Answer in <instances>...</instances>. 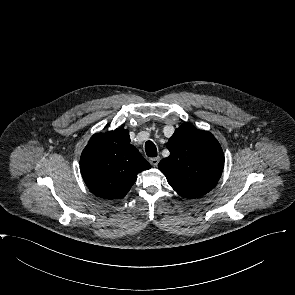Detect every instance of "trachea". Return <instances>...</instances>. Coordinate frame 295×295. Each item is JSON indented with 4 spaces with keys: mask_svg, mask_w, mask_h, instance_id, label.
<instances>
[{
    "mask_svg": "<svg viewBox=\"0 0 295 295\" xmlns=\"http://www.w3.org/2000/svg\"><path fill=\"white\" fill-rule=\"evenodd\" d=\"M145 150L146 154L149 157H156L157 156V148L152 141H147L145 143Z\"/></svg>",
    "mask_w": 295,
    "mask_h": 295,
    "instance_id": "1",
    "label": "trachea"
}]
</instances>
